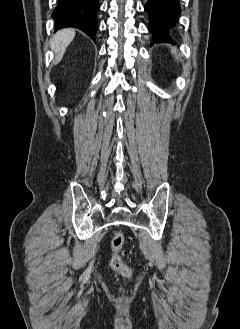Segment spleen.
<instances>
[{"instance_id": "obj_1", "label": "spleen", "mask_w": 240, "mask_h": 329, "mask_svg": "<svg viewBox=\"0 0 240 329\" xmlns=\"http://www.w3.org/2000/svg\"><path fill=\"white\" fill-rule=\"evenodd\" d=\"M172 53L175 54V55H177V51H176V49H173V50H172Z\"/></svg>"}]
</instances>
